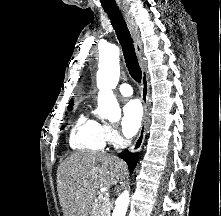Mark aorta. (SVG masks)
Instances as JSON below:
<instances>
[{
  "instance_id": "obj_1",
  "label": "aorta",
  "mask_w": 221,
  "mask_h": 216,
  "mask_svg": "<svg viewBox=\"0 0 221 216\" xmlns=\"http://www.w3.org/2000/svg\"><path fill=\"white\" fill-rule=\"evenodd\" d=\"M119 55V48L115 45H109L100 51L99 56L97 114L99 117L109 121H116L121 116L119 103L112 91L117 86L120 76ZM128 204L129 191H124L115 201L112 216H125Z\"/></svg>"
}]
</instances>
